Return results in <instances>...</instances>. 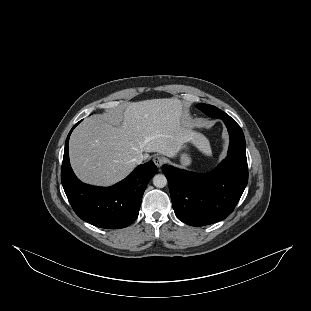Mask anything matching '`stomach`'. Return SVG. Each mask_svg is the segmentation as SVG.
<instances>
[{
    "label": "stomach",
    "instance_id": "obj_1",
    "mask_svg": "<svg viewBox=\"0 0 311 311\" xmlns=\"http://www.w3.org/2000/svg\"><path fill=\"white\" fill-rule=\"evenodd\" d=\"M191 157L188 153H182L180 155V163L183 167H187L191 164Z\"/></svg>",
    "mask_w": 311,
    "mask_h": 311
}]
</instances>
